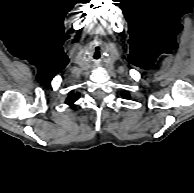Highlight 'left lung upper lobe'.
<instances>
[{
    "label": "left lung upper lobe",
    "mask_w": 194,
    "mask_h": 193,
    "mask_svg": "<svg viewBox=\"0 0 194 193\" xmlns=\"http://www.w3.org/2000/svg\"><path fill=\"white\" fill-rule=\"evenodd\" d=\"M122 96L125 98V99H128L130 96H129V93L128 92H123L122 93Z\"/></svg>",
    "instance_id": "left-lung-upper-lobe-1"
}]
</instances>
